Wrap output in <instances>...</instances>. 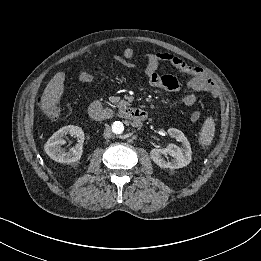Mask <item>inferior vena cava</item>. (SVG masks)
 <instances>
[{
  "label": "inferior vena cava",
  "instance_id": "obj_1",
  "mask_svg": "<svg viewBox=\"0 0 261 261\" xmlns=\"http://www.w3.org/2000/svg\"><path fill=\"white\" fill-rule=\"evenodd\" d=\"M112 136H113L112 130H111V128H110L109 126H107V127L105 128V130H104L103 137H104L105 139H109V138H111Z\"/></svg>",
  "mask_w": 261,
  "mask_h": 261
}]
</instances>
